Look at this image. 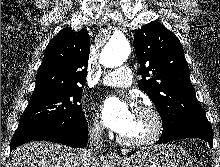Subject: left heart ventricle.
<instances>
[{"instance_id": "b2bd125f", "label": "left heart ventricle", "mask_w": 220, "mask_h": 167, "mask_svg": "<svg viewBox=\"0 0 220 167\" xmlns=\"http://www.w3.org/2000/svg\"><path fill=\"white\" fill-rule=\"evenodd\" d=\"M152 128V117L147 113H140L135 110L130 126L121 135L128 139H140L148 135Z\"/></svg>"}]
</instances>
